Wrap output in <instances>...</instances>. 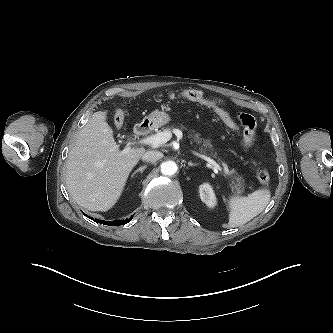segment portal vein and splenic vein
Returning a JSON list of instances; mask_svg holds the SVG:
<instances>
[{
  "instance_id": "18ae733b",
  "label": "portal vein and splenic vein",
  "mask_w": 333,
  "mask_h": 333,
  "mask_svg": "<svg viewBox=\"0 0 333 333\" xmlns=\"http://www.w3.org/2000/svg\"><path fill=\"white\" fill-rule=\"evenodd\" d=\"M174 134L177 136L178 139H182L183 137V134H182V131L179 130V129H175L173 130ZM172 137V134L170 131H163V132H159L155 135H151V136H148L144 139H142L140 141L141 144H146V145H159V144H163V143H166L167 141H169ZM130 149V146H127L126 147V150H129ZM191 153L203 160H205L208 165L210 167H213L219 171L222 170L221 166L215 161L213 160L212 158L208 157L207 155H204L202 153H199L193 149H190Z\"/></svg>"
}]
</instances>
